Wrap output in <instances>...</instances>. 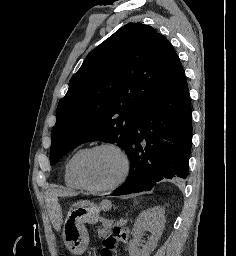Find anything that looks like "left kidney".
Listing matches in <instances>:
<instances>
[{
  "label": "left kidney",
  "mask_w": 236,
  "mask_h": 256,
  "mask_svg": "<svg viewBox=\"0 0 236 256\" xmlns=\"http://www.w3.org/2000/svg\"><path fill=\"white\" fill-rule=\"evenodd\" d=\"M164 214L165 210L161 206H155V208H150V210L140 214L133 228V240L129 242V256H150L162 236L165 224ZM143 232H151V236L145 246L141 244ZM139 246H141L142 250H139Z\"/></svg>",
  "instance_id": "5707ae66"
}]
</instances>
